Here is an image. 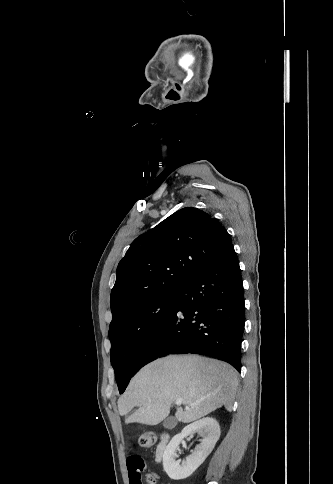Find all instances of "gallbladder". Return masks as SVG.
Here are the masks:
<instances>
[{
    "mask_svg": "<svg viewBox=\"0 0 333 484\" xmlns=\"http://www.w3.org/2000/svg\"><path fill=\"white\" fill-rule=\"evenodd\" d=\"M176 424V419L173 416L166 417L162 422V425L168 430L173 429Z\"/></svg>",
    "mask_w": 333,
    "mask_h": 484,
    "instance_id": "bac80fb5",
    "label": "gallbladder"
}]
</instances>
